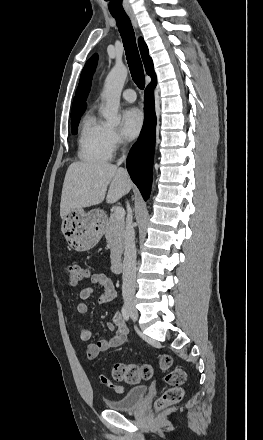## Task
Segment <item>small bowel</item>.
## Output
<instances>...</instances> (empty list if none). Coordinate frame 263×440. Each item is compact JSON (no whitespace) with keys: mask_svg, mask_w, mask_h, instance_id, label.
I'll return each mask as SVG.
<instances>
[{"mask_svg":"<svg viewBox=\"0 0 263 440\" xmlns=\"http://www.w3.org/2000/svg\"><path fill=\"white\" fill-rule=\"evenodd\" d=\"M100 289L98 301L101 303L113 302L116 298V291L112 279L103 273H95L89 276V284L79 292V301L76 304V310L79 314L88 312L87 299L94 293L95 287ZM79 336L82 341H89L92 337V329L82 324L78 325ZM107 328L114 332L110 339H100L89 343L86 347V355L89 359H95L100 353L111 348L121 346L127 338V327L124 323L122 313L119 311L112 315Z\"/></svg>","mask_w":263,"mask_h":440,"instance_id":"1","label":"small bowel"}]
</instances>
